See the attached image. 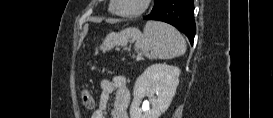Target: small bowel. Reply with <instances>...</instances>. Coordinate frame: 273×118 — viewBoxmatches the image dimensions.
<instances>
[{
	"label": "small bowel",
	"instance_id": "obj_1",
	"mask_svg": "<svg viewBox=\"0 0 273 118\" xmlns=\"http://www.w3.org/2000/svg\"><path fill=\"white\" fill-rule=\"evenodd\" d=\"M101 93L99 102L95 105L93 100L92 118H105L107 107L112 95H114L112 118H128V107L130 104L131 94L126 79L121 75H116L112 79L103 78L100 83Z\"/></svg>",
	"mask_w": 273,
	"mask_h": 118
}]
</instances>
